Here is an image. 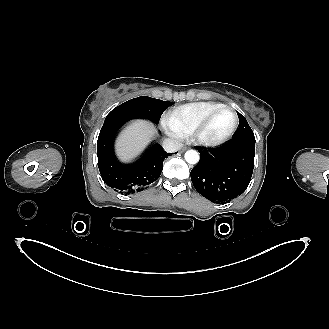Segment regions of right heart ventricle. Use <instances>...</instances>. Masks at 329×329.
<instances>
[{
	"instance_id": "1",
	"label": "right heart ventricle",
	"mask_w": 329,
	"mask_h": 329,
	"mask_svg": "<svg viewBox=\"0 0 329 329\" xmlns=\"http://www.w3.org/2000/svg\"><path fill=\"white\" fill-rule=\"evenodd\" d=\"M222 105L224 104L214 101L185 104L172 109L168 114V121L184 137L191 134L195 126L211 111Z\"/></svg>"
}]
</instances>
